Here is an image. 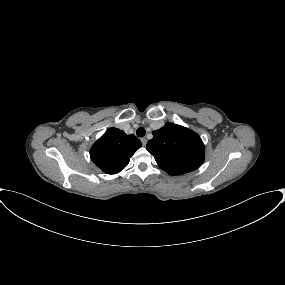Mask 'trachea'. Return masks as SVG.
I'll use <instances>...</instances> for the list:
<instances>
[{"mask_svg":"<svg viewBox=\"0 0 285 285\" xmlns=\"http://www.w3.org/2000/svg\"><path fill=\"white\" fill-rule=\"evenodd\" d=\"M145 134H146V131L143 127H139L136 131V135L138 137H143V136H145Z\"/></svg>","mask_w":285,"mask_h":285,"instance_id":"trachea-1","label":"trachea"}]
</instances>
